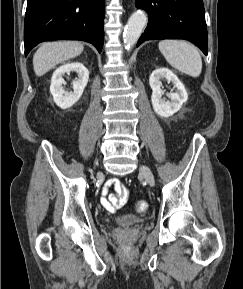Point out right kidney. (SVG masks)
Segmentation results:
<instances>
[{
    "label": "right kidney",
    "instance_id": "right-kidney-1",
    "mask_svg": "<svg viewBox=\"0 0 243 289\" xmlns=\"http://www.w3.org/2000/svg\"><path fill=\"white\" fill-rule=\"evenodd\" d=\"M70 72H76L78 75V78L72 82L73 92H67L63 88L66 84L63 75ZM88 79L89 71L80 62L66 63L58 67L53 73L50 85V92L56 105L62 109L73 106L82 96Z\"/></svg>",
    "mask_w": 243,
    "mask_h": 289
}]
</instances>
